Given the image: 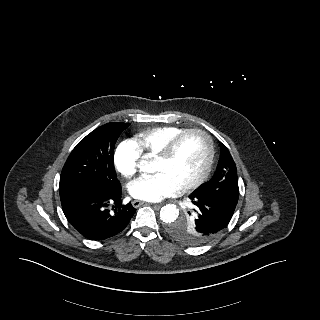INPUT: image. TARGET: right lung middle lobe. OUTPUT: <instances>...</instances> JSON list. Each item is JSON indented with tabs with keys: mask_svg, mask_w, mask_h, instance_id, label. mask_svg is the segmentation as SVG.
Instances as JSON below:
<instances>
[{
	"mask_svg": "<svg viewBox=\"0 0 320 320\" xmlns=\"http://www.w3.org/2000/svg\"><path fill=\"white\" fill-rule=\"evenodd\" d=\"M130 123L112 122L92 131L73 149L63 166L59 190L107 191L120 186L114 169V147Z\"/></svg>",
	"mask_w": 320,
	"mask_h": 320,
	"instance_id": "right-lung-middle-lobe-1",
	"label": "right lung middle lobe"
}]
</instances>
